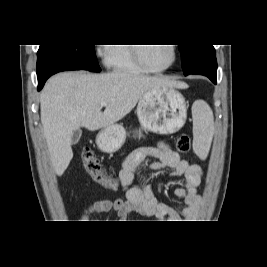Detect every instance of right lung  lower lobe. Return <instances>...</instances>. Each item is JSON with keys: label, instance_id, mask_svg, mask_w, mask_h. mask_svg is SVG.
I'll use <instances>...</instances> for the list:
<instances>
[{"label": "right lung lower lobe", "instance_id": "right-lung-lower-lobe-1", "mask_svg": "<svg viewBox=\"0 0 267 267\" xmlns=\"http://www.w3.org/2000/svg\"><path fill=\"white\" fill-rule=\"evenodd\" d=\"M69 70H85L82 67L71 63L70 61L60 58L55 55H43L38 57L37 60V77H38V90H41L46 80L62 71Z\"/></svg>", "mask_w": 267, "mask_h": 267}]
</instances>
